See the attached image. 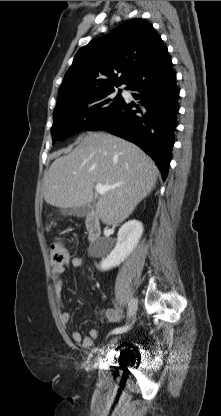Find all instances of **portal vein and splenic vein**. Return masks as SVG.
<instances>
[{
    "mask_svg": "<svg viewBox=\"0 0 221 416\" xmlns=\"http://www.w3.org/2000/svg\"><path fill=\"white\" fill-rule=\"evenodd\" d=\"M117 186H119V185L106 186V185H103V184H101V183H98V184H96L95 190H96V191H97V193H99V194H104L106 191H109V190H111V189H114V188H116Z\"/></svg>",
    "mask_w": 221,
    "mask_h": 416,
    "instance_id": "portal-vein-and-splenic-vein-1",
    "label": "portal vein and splenic vein"
}]
</instances>
